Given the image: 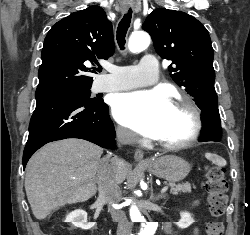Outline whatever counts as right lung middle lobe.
<instances>
[{
    "label": "right lung middle lobe",
    "mask_w": 250,
    "mask_h": 235,
    "mask_svg": "<svg viewBox=\"0 0 250 235\" xmlns=\"http://www.w3.org/2000/svg\"><path fill=\"white\" fill-rule=\"evenodd\" d=\"M62 94H76V95L84 96V97L90 99L91 101H95L96 100V98H93V99L90 98V87H86V88H82V89H77V90H72V91H68V92H64V93H59V94H55V95H62Z\"/></svg>",
    "instance_id": "obj_1"
}]
</instances>
